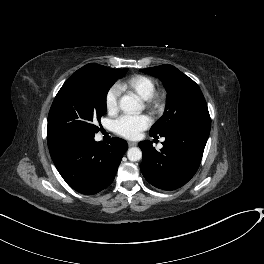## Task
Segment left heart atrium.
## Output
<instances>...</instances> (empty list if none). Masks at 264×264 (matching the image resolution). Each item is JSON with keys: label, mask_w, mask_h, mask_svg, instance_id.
<instances>
[{"label": "left heart atrium", "mask_w": 264, "mask_h": 264, "mask_svg": "<svg viewBox=\"0 0 264 264\" xmlns=\"http://www.w3.org/2000/svg\"><path fill=\"white\" fill-rule=\"evenodd\" d=\"M152 121L147 115H123L114 122L117 134L129 138H137L142 131L151 125Z\"/></svg>", "instance_id": "39dd6f15"}]
</instances>
